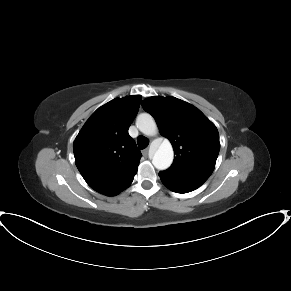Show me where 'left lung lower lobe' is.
I'll list each match as a JSON object with an SVG mask.
<instances>
[{"mask_svg": "<svg viewBox=\"0 0 291 291\" xmlns=\"http://www.w3.org/2000/svg\"><path fill=\"white\" fill-rule=\"evenodd\" d=\"M159 176L162 183L167 188L177 193H187L193 191L203 184V182L175 178L163 172H160Z\"/></svg>", "mask_w": 291, "mask_h": 291, "instance_id": "1", "label": "left lung lower lobe"}]
</instances>
